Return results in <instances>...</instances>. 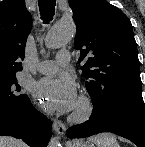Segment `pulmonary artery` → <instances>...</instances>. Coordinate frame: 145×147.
<instances>
[{"label":"pulmonary artery","mask_w":145,"mask_h":147,"mask_svg":"<svg viewBox=\"0 0 145 147\" xmlns=\"http://www.w3.org/2000/svg\"><path fill=\"white\" fill-rule=\"evenodd\" d=\"M71 59L69 51H61L57 54L56 60H44L37 64L36 69L43 74L54 73L59 66L68 65Z\"/></svg>","instance_id":"e3ab8cb5"}]
</instances>
